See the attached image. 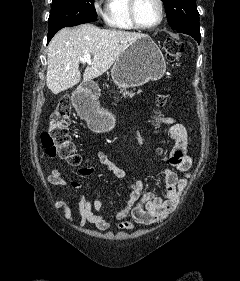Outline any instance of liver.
Returning a JSON list of instances; mask_svg holds the SVG:
<instances>
[{"label": "liver", "instance_id": "liver-1", "mask_svg": "<svg viewBox=\"0 0 240 281\" xmlns=\"http://www.w3.org/2000/svg\"><path fill=\"white\" fill-rule=\"evenodd\" d=\"M143 36L129 31L100 29L92 24L61 29L48 46L47 87L57 94L77 85L81 80L79 64L86 54L93 55V62L86 67L83 81L103 75L130 44Z\"/></svg>", "mask_w": 240, "mask_h": 281}]
</instances>
